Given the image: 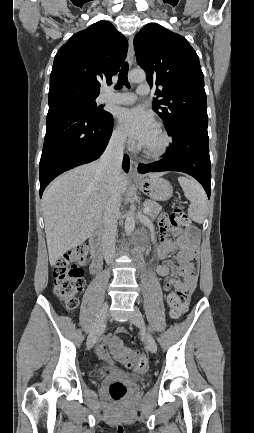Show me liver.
<instances>
[{
	"instance_id": "obj_1",
	"label": "liver",
	"mask_w": 254,
	"mask_h": 433,
	"mask_svg": "<svg viewBox=\"0 0 254 433\" xmlns=\"http://www.w3.org/2000/svg\"><path fill=\"white\" fill-rule=\"evenodd\" d=\"M163 173H151L160 177ZM128 176H119L120 195ZM110 197V184L99 162L79 166L57 178L42 198L49 262L54 266L68 250L82 244L99 227Z\"/></svg>"
}]
</instances>
